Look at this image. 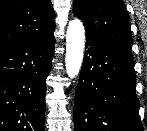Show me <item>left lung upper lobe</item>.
Here are the masks:
<instances>
[{
    "label": "left lung upper lobe",
    "mask_w": 147,
    "mask_h": 131,
    "mask_svg": "<svg viewBox=\"0 0 147 131\" xmlns=\"http://www.w3.org/2000/svg\"><path fill=\"white\" fill-rule=\"evenodd\" d=\"M73 13L82 19L87 37L132 55L130 20L122 0H74Z\"/></svg>",
    "instance_id": "left-lung-upper-lobe-1"
}]
</instances>
